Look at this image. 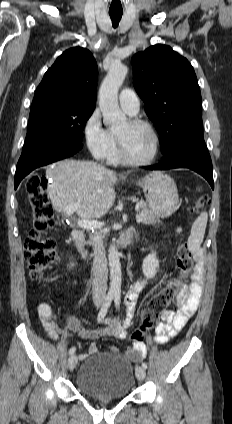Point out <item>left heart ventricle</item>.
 Instances as JSON below:
<instances>
[{
    "instance_id": "1",
    "label": "left heart ventricle",
    "mask_w": 232,
    "mask_h": 424,
    "mask_svg": "<svg viewBox=\"0 0 232 424\" xmlns=\"http://www.w3.org/2000/svg\"><path fill=\"white\" fill-rule=\"evenodd\" d=\"M115 133L121 139L125 152L130 158L141 160L151 155L154 141L146 128L133 126L126 121Z\"/></svg>"
}]
</instances>
